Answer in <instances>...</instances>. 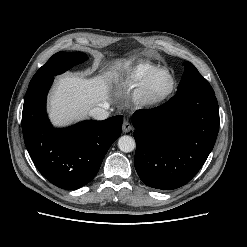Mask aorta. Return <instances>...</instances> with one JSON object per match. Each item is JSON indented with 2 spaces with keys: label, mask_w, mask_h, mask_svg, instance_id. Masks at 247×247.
Here are the masks:
<instances>
[{
  "label": "aorta",
  "mask_w": 247,
  "mask_h": 247,
  "mask_svg": "<svg viewBox=\"0 0 247 247\" xmlns=\"http://www.w3.org/2000/svg\"><path fill=\"white\" fill-rule=\"evenodd\" d=\"M118 148L125 153L132 152L135 149V140L131 136L124 135L118 140Z\"/></svg>",
  "instance_id": "1"
}]
</instances>
